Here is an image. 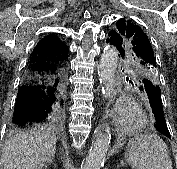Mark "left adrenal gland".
Wrapping results in <instances>:
<instances>
[{
    "label": "left adrenal gland",
    "instance_id": "a2214340",
    "mask_svg": "<svg viewBox=\"0 0 177 169\" xmlns=\"http://www.w3.org/2000/svg\"><path fill=\"white\" fill-rule=\"evenodd\" d=\"M120 166H125L123 159L121 160L120 165H118L117 168H119Z\"/></svg>",
    "mask_w": 177,
    "mask_h": 169
}]
</instances>
